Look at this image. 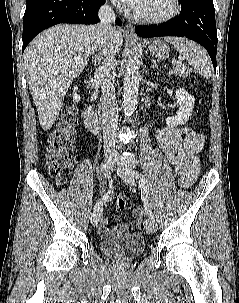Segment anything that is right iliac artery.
Masks as SVG:
<instances>
[{
    "instance_id": "1",
    "label": "right iliac artery",
    "mask_w": 239,
    "mask_h": 303,
    "mask_svg": "<svg viewBox=\"0 0 239 303\" xmlns=\"http://www.w3.org/2000/svg\"><path fill=\"white\" fill-rule=\"evenodd\" d=\"M101 172L105 175V178H107V182L110 183V190L108 191V193L106 195H104L94 206V211H97L99 210L107 201L108 199L110 198V194L113 189V186L115 183H116V180L114 178L111 177V171H109L107 169V166L106 164H102L101 165Z\"/></svg>"
}]
</instances>
